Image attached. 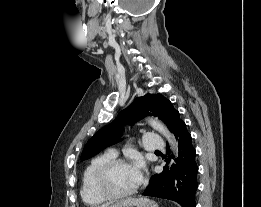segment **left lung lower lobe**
I'll return each mask as SVG.
<instances>
[{
    "instance_id": "0a47b994",
    "label": "left lung lower lobe",
    "mask_w": 261,
    "mask_h": 207,
    "mask_svg": "<svg viewBox=\"0 0 261 207\" xmlns=\"http://www.w3.org/2000/svg\"><path fill=\"white\" fill-rule=\"evenodd\" d=\"M174 135L179 145L176 164L169 167L167 163L162 173L154 174L143 195L172 200L182 207H196L195 195L198 188L196 151L184 121L178 123ZM167 152L169 153V148Z\"/></svg>"
}]
</instances>
